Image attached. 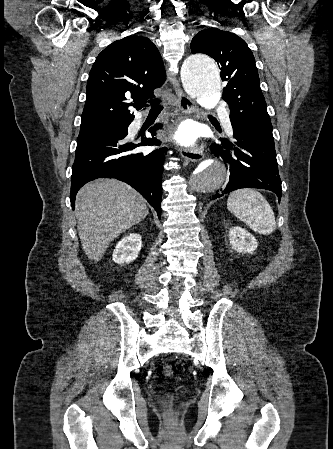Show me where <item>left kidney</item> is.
I'll return each mask as SVG.
<instances>
[{"mask_svg": "<svg viewBox=\"0 0 333 449\" xmlns=\"http://www.w3.org/2000/svg\"><path fill=\"white\" fill-rule=\"evenodd\" d=\"M229 240L232 249L238 253H252L257 248L255 237L240 226L230 228Z\"/></svg>", "mask_w": 333, "mask_h": 449, "instance_id": "left-kidney-1", "label": "left kidney"}]
</instances>
